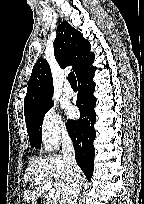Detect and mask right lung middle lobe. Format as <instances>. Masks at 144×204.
<instances>
[{
  "label": "right lung middle lobe",
  "mask_w": 144,
  "mask_h": 204,
  "mask_svg": "<svg viewBox=\"0 0 144 204\" xmlns=\"http://www.w3.org/2000/svg\"><path fill=\"white\" fill-rule=\"evenodd\" d=\"M53 101L43 106L30 117L25 119L27 132L29 134L30 145L39 148L42 139L41 122L45 113L53 106Z\"/></svg>",
  "instance_id": "obj_1"
}]
</instances>
